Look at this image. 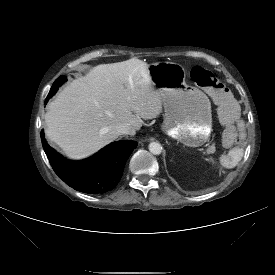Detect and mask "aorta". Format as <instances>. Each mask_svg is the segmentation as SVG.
Here are the masks:
<instances>
[{
    "label": "aorta",
    "instance_id": "1",
    "mask_svg": "<svg viewBox=\"0 0 275 275\" xmlns=\"http://www.w3.org/2000/svg\"><path fill=\"white\" fill-rule=\"evenodd\" d=\"M149 151L154 155H159L162 152V146L158 142H151L149 144Z\"/></svg>",
    "mask_w": 275,
    "mask_h": 275
}]
</instances>
